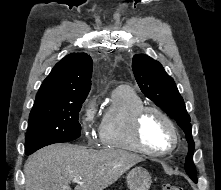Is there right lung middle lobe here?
<instances>
[{"mask_svg":"<svg viewBox=\"0 0 221 190\" xmlns=\"http://www.w3.org/2000/svg\"><path fill=\"white\" fill-rule=\"evenodd\" d=\"M83 102L33 106L26 135V154L46 145L79 138L81 125L78 119Z\"/></svg>","mask_w":221,"mask_h":190,"instance_id":"right-lung-middle-lobe-1","label":"right lung middle lobe"}]
</instances>
